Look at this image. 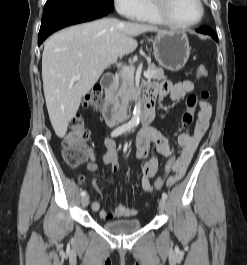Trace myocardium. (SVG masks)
Returning a JSON list of instances; mask_svg holds the SVG:
<instances>
[{
    "mask_svg": "<svg viewBox=\"0 0 247 265\" xmlns=\"http://www.w3.org/2000/svg\"><path fill=\"white\" fill-rule=\"evenodd\" d=\"M170 2L171 0H151L152 8L154 12L164 21V23L179 29H187L198 25L205 15V7L203 0H197L200 8L198 18L190 23H180L176 21L170 13Z\"/></svg>",
    "mask_w": 247,
    "mask_h": 265,
    "instance_id": "myocardium-1",
    "label": "myocardium"
}]
</instances>
